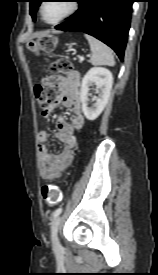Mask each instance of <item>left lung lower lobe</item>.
Returning <instances> with one entry per match:
<instances>
[{
	"label": "left lung lower lobe",
	"instance_id": "1",
	"mask_svg": "<svg viewBox=\"0 0 158 275\" xmlns=\"http://www.w3.org/2000/svg\"><path fill=\"white\" fill-rule=\"evenodd\" d=\"M79 10L55 28L83 31L110 46L123 60L134 0H78Z\"/></svg>",
	"mask_w": 158,
	"mask_h": 275
}]
</instances>
